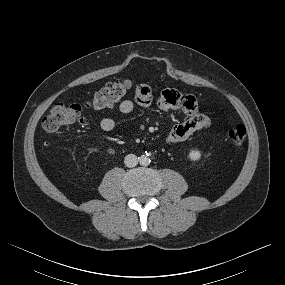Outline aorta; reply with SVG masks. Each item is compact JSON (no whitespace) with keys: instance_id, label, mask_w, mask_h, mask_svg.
I'll list each match as a JSON object with an SVG mask.
<instances>
[{"instance_id":"aorta-1","label":"aorta","mask_w":285,"mask_h":285,"mask_svg":"<svg viewBox=\"0 0 285 285\" xmlns=\"http://www.w3.org/2000/svg\"><path fill=\"white\" fill-rule=\"evenodd\" d=\"M150 162H151L150 157L147 155H141L139 158V163L142 166H148Z\"/></svg>"}]
</instances>
